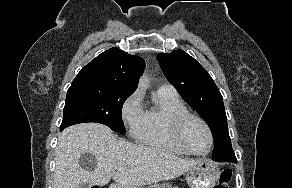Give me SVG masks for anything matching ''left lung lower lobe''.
I'll return each mask as SVG.
<instances>
[{
  "mask_svg": "<svg viewBox=\"0 0 292 188\" xmlns=\"http://www.w3.org/2000/svg\"><path fill=\"white\" fill-rule=\"evenodd\" d=\"M221 161H230V162H236V157L234 154H232L230 157H227L226 159H223Z\"/></svg>",
  "mask_w": 292,
  "mask_h": 188,
  "instance_id": "left-lung-lower-lobe-1",
  "label": "left lung lower lobe"
}]
</instances>
